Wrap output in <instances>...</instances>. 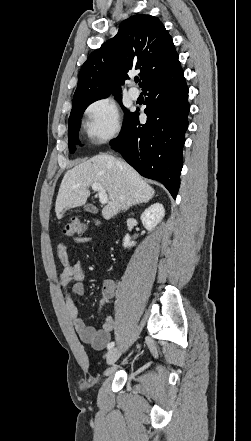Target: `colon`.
Segmentation results:
<instances>
[{
    "mask_svg": "<svg viewBox=\"0 0 251 441\" xmlns=\"http://www.w3.org/2000/svg\"><path fill=\"white\" fill-rule=\"evenodd\" d=\"M85 224L77 217H72L62 226V234L65 237H79L85 233Z\"/></svg>",
    "mask_w": 251,
    "mask_h": 441,
    "instance_id": "1",
    "label": "colon"
}]
</instances>
